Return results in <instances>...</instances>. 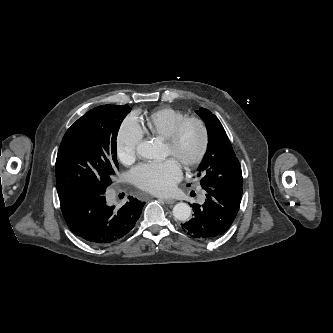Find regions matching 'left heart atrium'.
Segmentation results:
<instances>
[{"mask_svg": "<svg viewBox=\"0 0 333 333\" xmlns=\"http://www.w3.org/2000/svg\"><path fill=\"white\" fill-rule=\"evenodd\" d=\"M181 176V166L173 158L140 164L130 173L131 181L138 188L156 195L172 192Z\"/></svg>", "mask_w": 333, "mask_h": 333, "instance_id": "left-heart-atrium-1", "label": "left heart atrium"}]
</instances>
